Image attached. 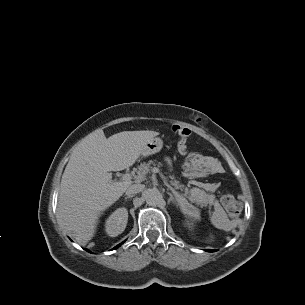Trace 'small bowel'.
<instances>
[{"label":"small bowel","instance_id":"c3829d8e","mask_svg":"<svg viewBox=\"0 0 305 305\" xmlns=\"http://www.w3.org/2000/svg\"><path fill=\"white\" fill-rule=\"evenodd\" d=\"M179 151L181 153H185L186 152V147L183 148V149L179 148ZM198 160L200 162V165H202L207 172H209V173H217L219 171L218 170L219 169V165H218V162L215 159L204 158V157L198 156ZM166 163L169 164L170 160L166 159Z\"/></svg>","mask_w":305,"mask_h":305}]
</instances>
